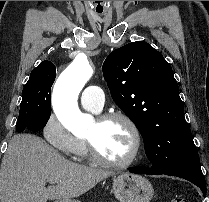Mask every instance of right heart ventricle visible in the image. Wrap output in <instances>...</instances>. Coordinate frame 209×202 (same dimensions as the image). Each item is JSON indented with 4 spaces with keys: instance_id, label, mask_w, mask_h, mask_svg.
Returning a JSON list of instances; mask_svg holds the SVG:
<instances>
[{
    "instance_id": "e07e8e85",
    "label": "right heart ventricle",
    "mask_w": 209,
    "mask_h": 202,
    "mask_svg": "<svg viewBox=\"0 0 209 202\" xmlns=\"http://www.w3.org/2000/svg\"><path fill=\"white\" fill-rule=\"evenodd\" d=\"M74 156L81 160L86 158L87 156V147L84 141L81 142L79 148L76 150V152L74 153Z\"/></svg>"
}]
</instances>
